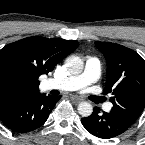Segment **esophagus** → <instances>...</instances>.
<instances>
[{
    "mask_svg": "<svg viewBox=\"0 0 145 145\" xmlns=\"http://www.w3.org/2000/svg\"><path fill=\"white\" fill-rule=\"evenodd\" d=\"M70 99L74 104H78L83 100L80 96L77 95H72Z\"/></svg>",
    "mask_w": 145,
    "mask_h": 145,
    "instance_id": "1",
    "label": "esophagus"
}]
</instances>
